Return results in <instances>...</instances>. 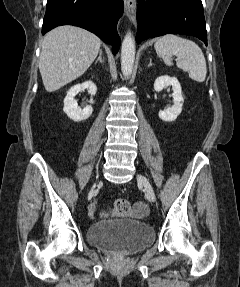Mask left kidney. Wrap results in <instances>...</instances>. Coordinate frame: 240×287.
Masks as SVG:
<instances>
[{"mask_svg":"<svg viewBox=\"0 0 240 287\" xmlns=\"http://www.w3.org/2000/svg\"><path fill=\"white\" fill-rule=\"evenodd\" d=\"M166 86H172L173 89L172 97L174 104L172 107L160 111L158 115L161 120L166 122H172L175 121L176 118L180 115L184 99L182 96L181 85L177 80V78L169 77L168 75L157 77V79L154 82L155 91L160 92Z\"/></svg>","mask_w":240,"mask_h":287,"instance_id":"left-kidney-1","label":"left kidney"}]
</instances>
